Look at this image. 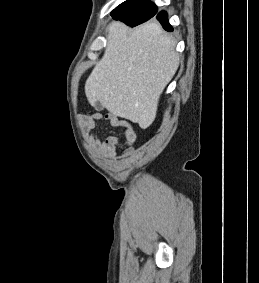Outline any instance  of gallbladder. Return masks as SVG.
Listing matches in <instances>:
<instances>
[{
    "instance_id": "gallbladder-1",
    "label": "gallbladder",
    "mask_w": 259,
    "mask_h": 283,
    "mask_svg": "<svg viewBox=\"0 0 259 283\" xmlns=\"http://www.w3.org/2000/svg\"><path fill=\"white\" fill-rule=\"evenodd\" d=\"M94 109L96 111H102L104 109V107L102 106V104L99 101H97L96 104L94 105Z\"/></svg>"
}]
</instances>
